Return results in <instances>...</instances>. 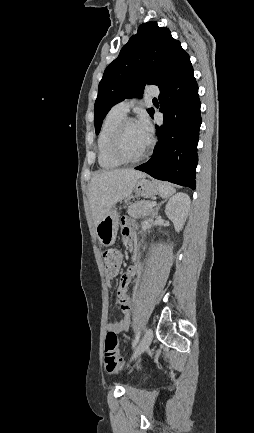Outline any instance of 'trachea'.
Returning <instances> with one entry per match:
<instances>
[{"label":"trachea","mask_w":254,"mask_h":433,"mask_svg":"<svg viewBox=\"0 0 254 433\" xmlns=\"http://www.w3.org/2000/svg\"><path fill=\"white\" fill-rule=\"evenodd\" d=\"M156 100H157L156 98L153 99V101H156Z\"/></svg>","instance_id":"3493384b"}]
</instances>
